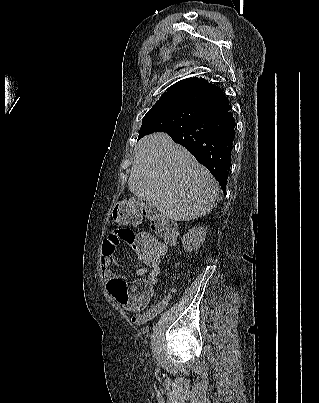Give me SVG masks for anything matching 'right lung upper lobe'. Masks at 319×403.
<instances>
[{
    "mask_svg": "<svg viewBox=\"0 0 319 403\" xmlns=\"http://www.w3.org/2000/svg\"><path fill=\"white\" fill-rule=\"evenodd\" d=\"M190 102L210 109L212 114L230 110L224 94L205 79H183L167 89L156 104Z\"/></svg>",
    "mask_w": 319,
    "mask_h": 403,
    "instance_id": "right-lung-upper-lobe-1",
    "label": "right lung upper lobe"
}]
</instances>
